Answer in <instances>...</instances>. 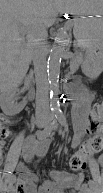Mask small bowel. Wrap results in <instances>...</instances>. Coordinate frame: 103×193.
I'll list each match as a JSON object with an SVG mask.
<instances>
[{"label": "small bowel", "mask_w": 103, "mask_h": 193, "mask_svg": "<svg viewBox=\"0 0 103 193\" xmlns=\"http://www.w3.org/2000/svg\"><path fill=\"white\" fill-rule=\"evenodd\" d=\"M94 98L91 92H81L76 99L78 120L75 126V136L73 146L76 147L83 143L84 136L89 127V116L93 111L92 100ZM3 123L8 125L11 121L8 118L3 119ZM12 133L10 132L8 137ZM49 147V140L46 138L36 139L34 136L29 137L22 149V156L26 162H31L37 156L45 154ZM0 155H4V150H0ZM9 167L7 166V170ZM97 168H93V175L97 173ZM18 176L9 178L7 191L13 189L12 183L15 184V190L18 193H87L88 187L84 181V174H71L64 171L49 170L46 173V179L39 184L38 176L23 164H17ZM94 175V176H95Z\"/></svg>", "instance_id": "1"}]
</instances>
